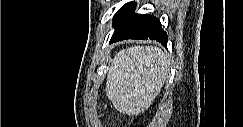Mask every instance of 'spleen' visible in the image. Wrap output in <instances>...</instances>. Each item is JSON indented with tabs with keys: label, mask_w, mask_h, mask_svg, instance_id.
Listing matches in <instances>:
<instances>
[{
	"label": "spleen",
	"mask_w": 243,
	"mask_h": 127,
	"mask_svg": "<svg viewBox=\"0 0 243 127\" xmlns=\"http://www.w3.org/2000/svg\"><path fill=\"white\" fill-rule=\"evenodd\" d=\"M167 66V55L158 47L121 50L110 62L106 95L120 112H140L151 104L166 81Z\"/></svg>",
	"instance_id": "spleen-1"
}]
</instances>
